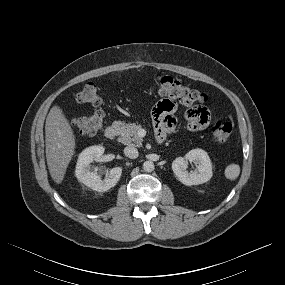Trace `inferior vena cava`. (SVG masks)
Returning <instances> with one entry per match:
<instances>
[{"label":"inferior vena cava","mask_w":285,"mask_h":285,"mask_svg":"<svg viewBox=\"0 0 285 285\" xmlns=\"http://www.w3.org/2000/svg\"><path fill=\"white\" fill-rule=\"evenodd\" d=\"M124 154L130 159H136L139 156L138 150L134 148L133 146L125 147Z\"/></svg>","instance_id":"602c4592"}]
</instances>
